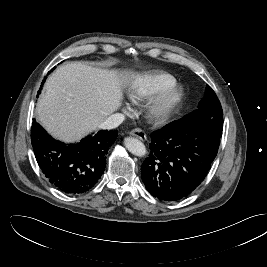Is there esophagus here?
I'll list each match as a JSON object with an SVG mask.
<instances>
[{"instance_id": "34e87169", "label": "esophagus", "mask_w": 267, "mask_h": 267, "mask_svg": "<svg viewBox=\"0 0 267 267\" xmlns=\"http://www.w3.org/2000/svg\"><path fill=\"white\" fill-rule=\"evenodd\" d=\"M129 134L133 137H136V138L142 140V141H145L147 138L145 132L139 128L131 130L129 132Z\"/></svg>"}]
</instances>
